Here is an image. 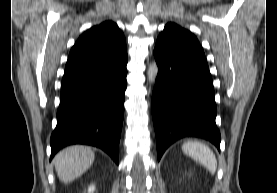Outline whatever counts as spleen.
<instances>
[{
  "instance_id": "obj_1",
  "label": "spleen",
  "mask_w": 277,
  "mask_h": 193,
  "mask_svg": "<svg viewBox=\"0 0 277 193\" xmlns=\"http://www.w3.org/2000/svg\"><path fill=\"white\" fill-rule=\"evenodd\" d=\"M183 152L206 167L212 174L216 172L217 160L213 151L198 141H189L182 145Z\"/></svg>"
}]
</instances>
